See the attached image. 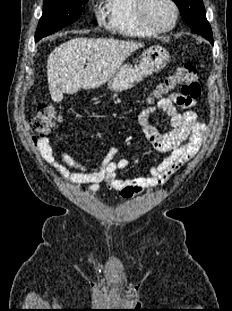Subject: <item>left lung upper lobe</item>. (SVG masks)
<instances>
[{"mask_svg":"<svg viewBox=\"0 0 232 311\" xmlns=\"http://www.w3.org/2000/svg\"><path fill=\"white\" fill-rule=\"evenodd\" d=\"M181 11V15L189 27L198 34L211 32L206 19L203 0H173Z\"/></svg>","mask_w":232,"mask_h":311,"instance_id":"5c2ea615","label":"left lung upper lobe"}]
</instances>
